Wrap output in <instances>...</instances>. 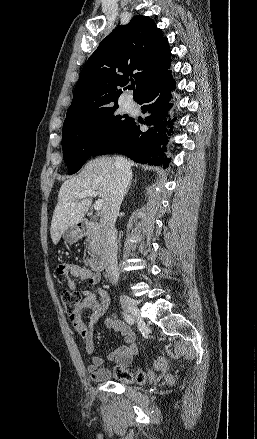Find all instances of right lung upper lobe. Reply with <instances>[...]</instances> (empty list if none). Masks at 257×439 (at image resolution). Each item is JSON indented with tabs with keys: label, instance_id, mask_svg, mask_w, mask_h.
Masks as SVG:
<instances>
[{
	"label": "right lung upper lobe",
	"instance_id": "1",
	"mask_svg": "<svg viewBox=\"0 0 257 439\" xmlns=\"http://www.w3.org/2000/svg\"><path fill=\"white\" fill-rule=\"evenodd\" d=\"M170 57L168 39L151 18L137 15L116 27L83 66L64 122L117 104L122 93L118 87L132 78L137 85L134 99L139 101L167 72Z\"/></svg>",
	"mask_w": 257,
	"mask_h": 439
}]
</instances>
